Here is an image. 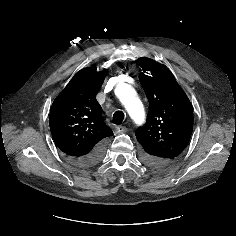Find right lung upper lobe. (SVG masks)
Masks as SVG:
<instances>
[{
  "mask_svg": "<svg viewBox=\"0 0 236 236\" xmlns=\"http://www.w3.org/2000/svg\"><path fill=\"white\" fill-rule=\"evenodd\" d=\"M107 70L84 68L54 100L49 125L57 147L67 157H81L113 133L102 117L98 93Z\"/></svg>",
  "mask_w": 236,
  "mask_h": 236,
  "instance_id": "1",
  "label": "right lung upper lobe"
}]
</instances>
